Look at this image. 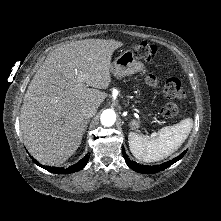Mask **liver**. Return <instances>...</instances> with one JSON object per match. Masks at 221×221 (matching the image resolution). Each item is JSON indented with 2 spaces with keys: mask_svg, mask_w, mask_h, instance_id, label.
<instances>
[{
  "mask_svg": "<svg viewBox=\"0 0 221 221\" xmlns=\"http://www.w3.org/2000/svg\"><path fill=\"white\" fill-rule=\"evenodd\" d=\"M122 45L85 39L62 44L47 56L27 88L20 112L24 143L38 161L60 165L78 149L85 125L82 109L88 104L99 107L107 97L99 89L109 87L112 54Z\"/></svg>",
  "mask_w": 221,
  "mask_h": 221,
  "instance_id": "6515ba94",
  "label": "liver"
}]
</instances>
